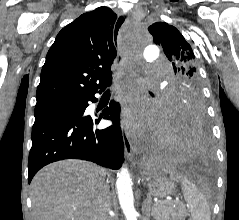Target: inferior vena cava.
I'll use <instances>...</instances> for the list:
<instances>
[{
    "instance_id": "inferior-vena-cava-1",
    "label": "inferior vena cava",
    "mask_w": 239,
    "mask_h": 220,
    "mask_svg": "<svg viewBox=\"0 0 239 220\" xmlns=\"http://www.w3.org/2000/svg\"><path fill=\"white\" fill-rule=\"evenodd\" d=\"M111 206L110 190L107 185H104L101 196L99 198V211L96 216L97 220H110L108 217V211Z\"/></svg>"
}]
</instances>
